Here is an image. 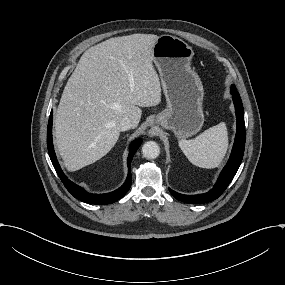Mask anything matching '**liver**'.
I'll return each instance as SVG.
<instances>
[{"label": "liver", "mask_w": 285, "mask_h": 285, "mask_svg": "<svg viewBox=\"0 0 285 285\" xmlns=\"http://www.w3.org/2000/svg\"><path fill=\"white\" fill-rule=\"evenodd\" d=\"M157 35L111 38L88 49L68 80L55 116L58 149L71 171L104 157L117 143L118 123L137 127L141 109L161 103L153 64Z\"/></svg>", "instance_id": "1"}]
</instances>
